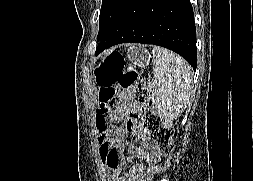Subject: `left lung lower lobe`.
I'll list each match as a JSON object with an SVG mask.
<instances>
[{
    "label": "left lung lower lobe",
    "mask_w": 253,
    "mask_h": 181,
    "mask_svg": "<svg viewBox=\"0 0 253 181\" xmlns=\"http://www.w3.org/2000/svg\"><path fill=\"white\" fill-rule=\"evenodd\" d=\"M125 42L154 44L183 56L196 70V30L189 0H131L96 54Z\"/></svg>",
    "instance_id": "left-lung-lower-lobe-1"
}]
</instances>
